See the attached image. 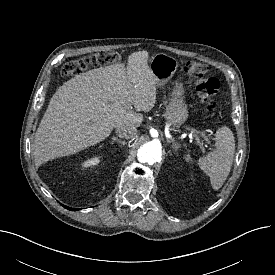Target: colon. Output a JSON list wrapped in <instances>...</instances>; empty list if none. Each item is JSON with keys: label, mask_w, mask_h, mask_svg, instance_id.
<instances>
[{"label": "colon", "mask_w": 275, "mask_h": 275, "mask_svg": "<svg viewBox=\"0 0 275 275\" xmlns=\"http://www.w3.org/2000/svg\"><path fill=\"white\" fill-rule=\"evenodd\" d=\"M119 60L120 55L115 51H100L65 63L61 68V73L64 76H73L89 67L106 66ZM184 72L194 81L196 91L206 109L214 111L217 108L216 95L220 82L216 77L210 75L209 66L198 61H188L184 65Z\"/></svg>", "instance_id": "1"}]
</instances>
